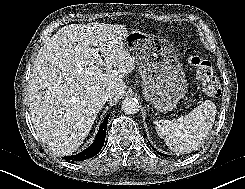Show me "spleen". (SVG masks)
<instances>
[{"label": "spleen", "instance_id": "spleen-1", "mask_svg": "<svg viewBox=\"0 0 245 189\" xmlns=\"http://www.w3.org/2000/svg\"><path fill=\"white\" fill-rule=\"evenodd\" d=\"M216 112L215 104L206 100L188 115L173 120H156L155 128L172 151L191 152L209 136Z\"/></svg>", "mask_w": 245, "mask_h": 189}]
</instances>
